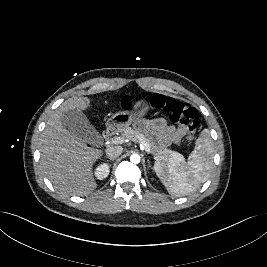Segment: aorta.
I'll use <instances>...</instances> for the list:
<instances>
[{
	"label": "aorta",
	"instance_id": "obj_1",
	"mask_svg": "<svg viewBox=\"0 0 267 267\" xmlns=\"http://www.w3.org/2000/svg\"><path fill=\"white\" fill-rule=\"evenodd\" d=\"M140 160H141V158H140V156H139L138 154H132V155L130 156V161H131L132 163H134V164H138V163H140Z\"/></svg>",
	"mask_w": 267,
	"mask_h": 267
}]
</instances>
